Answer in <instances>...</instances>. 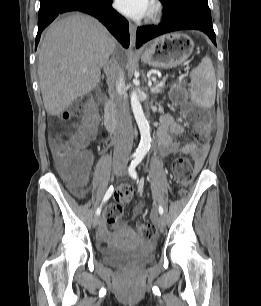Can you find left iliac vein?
<instances>
[{
    "instance_id": "4c4485c4",
    "label": "left iliac vein",
    "mask_w": 261,
    "mask_h": 306,
    "mask_svg": "<svg viewBox=\"0 0 261 306\" xmlns=\"http://www.w3.org/2000/svg\"><path fill=\"white\" fill-rule=\"evenodd\" d=\"M126 171H127V169H126V166L124 165V166H122V168L118 171V176H120V177H123L125 174H126ZM155 223H156V225L159 227V228H163L164 227V225H165V221H164V218H163V216L160 214V215H158L156 218H155Z\"/></svg>"
}]
</instances>
